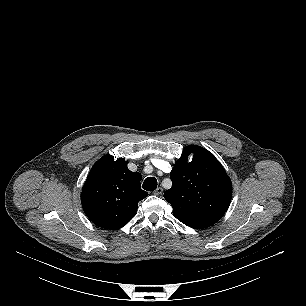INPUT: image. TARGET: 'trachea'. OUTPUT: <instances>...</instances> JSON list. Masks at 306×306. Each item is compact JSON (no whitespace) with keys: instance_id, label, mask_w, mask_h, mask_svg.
I'll return each mask as SVG.
<instances>
[{"instance_id":"obj_1","label":"trachea","mask_w":306,"mask_h":306,"mask_svg":"<svg viewBox=\"0 0 306 306\" xmlns=\"http://www.w3.org/2000/svg\"><path fill=\"white\" fill-rule=\"evenodd\" d=\"M143 189L147 191H154L157 188V180L155 177H148L143 183Z\"/></svg>"}]
</instances>
